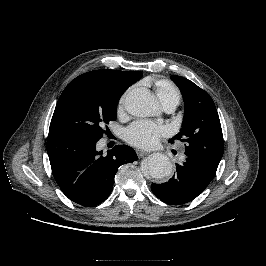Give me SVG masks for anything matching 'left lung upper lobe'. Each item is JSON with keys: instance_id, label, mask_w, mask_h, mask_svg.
<instances>
[{"instance_id": "left-lung-upper-lobe-1", "label": "left lung upper lobe", "mask_w": 266, "mask_h": 266, "mask_svg": "<svg viewBox=\"0 0 266 266\" xmlns=\"http://www.w3.org/2000/svg\"><path fill=\"white\" fill-rule=\"evenodd\" d=\"M180 88L185 103L184 122L181 131L169 140L186 143L185 155L218 167L223 155V135L219 116L210 95L192 81L171 76Z\"/></svg>"}]
</instances>
